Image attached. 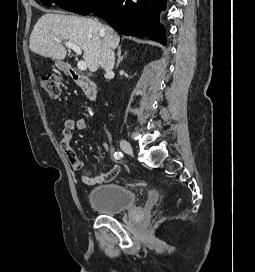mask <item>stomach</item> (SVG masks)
<instances>
[{"label":"stomach","instance_id":"stomach-1","mask_svg":"<svg viewBox=\"0 0 255 272\" xmlns=\"http://www.w3.org/2000/svg\"><path fill=\"white\" fill-rule=\"evenodd\" d=\"M56 66L61 69V70H64L65 69V65L62 63V62H57L56 63Z\"/></svg>","mask_w":255,"mask_h":272}]
</instances>
